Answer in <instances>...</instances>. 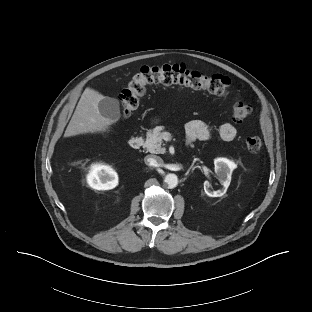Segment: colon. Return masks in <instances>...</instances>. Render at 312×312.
Listing matches in <instances>:
<instances>
[{"instance_id":"5ec220e1","label":"colon","mask_w":312,"mask_h":312,"mask_svg":"<svg viewBox=\"0 0 312 312\" xmlns=\"http://www.w3.org/2000/svg\"><path fill=\"white\" fill-rule=\"evenodd\" d=\"M154 83L183 84L204 89L211 94L220 96L228 95L231 87L230 79L226 76L206 74L188 68L184 64L145 65L133 75L128 84L119 92L118 99L124 116L130 115L138 108L147 86ZM250 112L251 107L245 102H235L232 106V118L236 122L245 121ZM245 144L251 153H257L262 148V141L257 136L246 138Z\"/></svg>"}]
</instances>
